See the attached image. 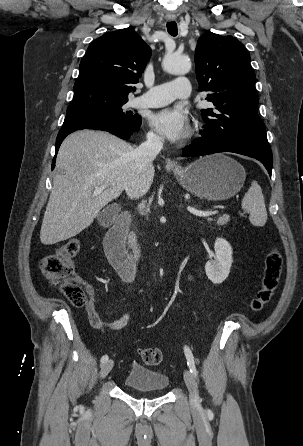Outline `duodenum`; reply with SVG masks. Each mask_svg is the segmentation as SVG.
<instances>
[{
	"label": "duodenum",
	"mask_w": 303,
	"mask_h": 446,
	"mask_svg": "<svg viewBox=\"0 0 303 446\" xmlns=\"http://www.w3.org/2000/svg\"><path fill=\"white\" fill-rule=\"evenodd\" d=\"M131 220V213L122 211L104 238V250L109 262L126 280H131L136 272V261L128 254L125 247Z\"/></svg>",
	"instance_id": "1"
}]
</instances>
